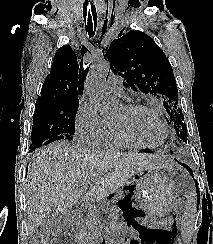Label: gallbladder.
Here are the masks:
<instances>
[{
    "mask_svg": "<svg viewBox=\"0 0 213 244\" xmlns=\"http://www.w3.org/2000/svg\"><path fill=\"white\" fill-rule=\"evenodd\" d=\"M67 223V218L64 213H60L56 210L49 211L43 218L42 224L40 226L41 233H61Z\"/></svg>",
    "mask_w": 213,
    "mask_h": 244,
    "instance_id": "1",
    "label": "gallbladder"
}]
</instances>
